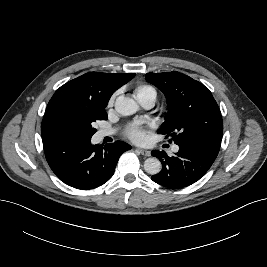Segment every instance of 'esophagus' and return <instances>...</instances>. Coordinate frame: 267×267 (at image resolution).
Segmentation results:
<instances>
[{
	"label": "esophagus",
	"mask_w": 267,
	"mask_h": 267,
	"mask_svg": "<svg viewBox=\"0 0 267 267\" xmlns=\"http://www.w3.org/2000/svg\"><path fill=\"white\" fill-rule=\"evenodd\" d=\"M138 151L140 152L141 155L143 156H150V151L142 148H138Z\"/></svg>",
	"instance_id": "esophagus-1"
}]
</instances>
